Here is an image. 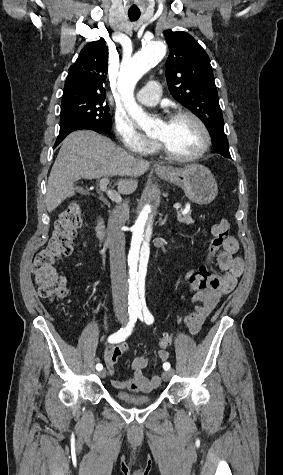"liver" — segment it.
Returning <instances> with one entry per match:
<instances>
[{"instance_id":"6515ba94","label":"liver","mask_w":283,"mask_h":475,"mask_svg":"<svg viewBox=\"0 0 283 475\" xmlns=\"http://www.w3.org/2000/svg\"><path fill=\"white\" fill-rule=\"evenodd\" d=\"M150 168V162L134 158L110 138L91 130L72 132L59 150L47 184L46 208L53 212L66 198L74 196V182L103 176H129L130 180H118L119 194H133L137 180Z\"/></svg>"}]
</instances>
